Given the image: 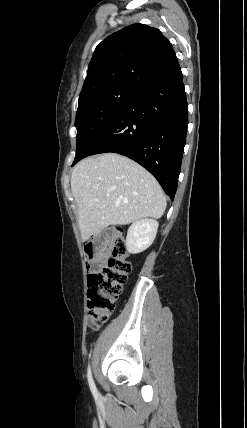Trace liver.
<instances>
[{
  "label": "liver",
  "instance_id": "obj_1",
  "mask_svg": "<svg viewBox=\"0 0 247 428\" xmlns=\"http://www.w3.org/2000/svg\"><path fill=\"white\" fill-rule=\"evenodd\" d=\"M83 241L110 225L160 218L166 198L156 179L127 157L106 153L80 161L71 176Z\"/></svg>",
  "mask_w": 247,
  "mask_h": 428
}]
</instances>
